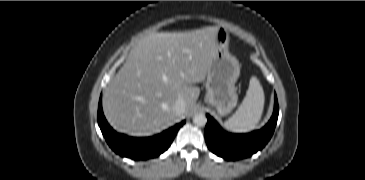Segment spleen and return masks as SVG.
Segmentation results:
<instances>
[{
  "mask_svg": "<svg viewBox=\"0 0 365 180\" xmlns=\"http://www.w3.org/2000/svg\"><path fill=\"white\" fill-rule=\"evenodd\" d=\"M264 102L263 88L259 80L253 76L250 79L245 98L237 111L225 121V127L237 133L252 131L262 117Z\"/></svg>",
  "mask_w": 365,
  "mask_h": 180,
  "instance_id": "1",
  "label": "spleen"
}]
</instances>
